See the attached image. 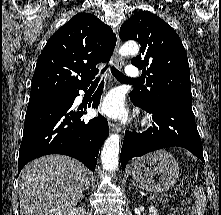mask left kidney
<instances>
[{"mask_svg": "<svg viewBox=\"0 0 221 215\" xmlns=\"http://www.w3.org/2000/svg\"><path fill=\"white\" fill-rule=\"evenodd\" d=\"M149 215H159L156 207H154V206L149 207Z\"/></svg>", "mask_w": 221, "mask_h": 215, "instance_id": "1", "label": "left kidney"}]
</instances>
